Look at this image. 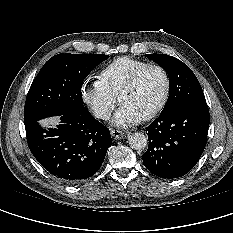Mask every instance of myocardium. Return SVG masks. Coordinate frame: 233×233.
<instances>
[{"label": "myocardium", "mask_w": 233, "mask_h": 233, "mask_svg": "<svg viewBox=\"0 0 233 233\" xmlns=\"http://www.w3.org/2000/svg\"><path fill=\"white\" fill-rule=\"evenodd\" d=\"M150 69H156L159 70L163 76H164V80H165V90L163 93L162 98L160 99V101L158 102V104L147 114H145L143 117H141V119L143 121H147L150 120L154 117H156L164 108V106L166 105L170 93H171V77L170 74L168 73V71L161 65L158 64H148L140 69H138L136 72H134L131 77L127 80V82L124 84V86L122 87L120 93H119V101L121 99V97L128 93L129 91H131L135 85L137 84V82L139 81V79L141 78V76L148 70Z\"/></svg>", "instance_id": "obj_1"}]
</instances>
